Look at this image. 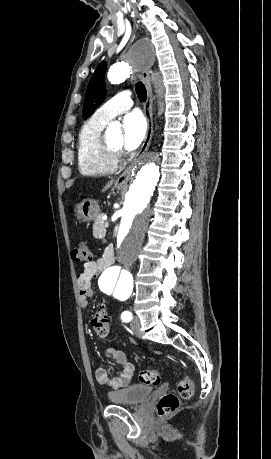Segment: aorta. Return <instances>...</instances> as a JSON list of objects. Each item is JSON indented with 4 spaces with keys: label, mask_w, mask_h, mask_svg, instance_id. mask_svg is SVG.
I'll list each match as a JSON object with an SVG mask.
<instances>
[{
    "label": "aorta",
    "mask_w": 271,
    "mask_h": 459,
    "mask_svg": "<svg viewBox=\"0 0 271 459\" xmlns=\"http://www.w3.org/2000/svg\"><path fill=\"white\" fill-rule=\"evenodd\" d=\"M151 58V46L146 42L137 43L132 49L129 62L111 66L108 80L112 84L124 82L130 76L132 66H141ZM155 92L159 98L162 97L163 87L158 78ZM133 177L119 211L121 220L117 234V255L99 277L100 290L118 297L130 295L133 290V276L129 266L137 259L151 216L150 199L160 177L158 156L153 153L145 155L136 165Z\"/></svg>",
    "instance_id": "obj_1"
}]
</instances>
